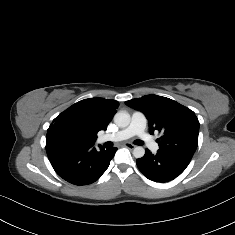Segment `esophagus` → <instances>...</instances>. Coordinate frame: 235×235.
<instances>
[{
	"instance_id": "1",
	"label": "esophagus",
	"mask_w": 235,
	"mask_h": 235,
	"mask_svg": "<svg viewBox=\"0 0 235 235\" xmlns=\"http://www.w3.org/2000/svg\"><path fill=\"white\" fill-rule=\"evenodd\" d=\"M123 145L130 150H133L135 148V145L129 142H125Z\"/></svg>"
}]
</instances>
